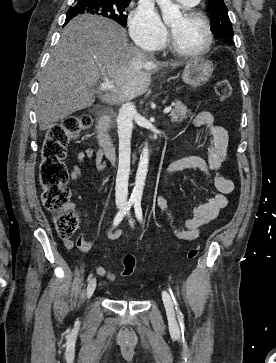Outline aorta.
I'll return each mask as SVG.
<instances>
[{
  "mask_svg": "<svg viewBox=\"0 0 276 363\" xmlns=\"http://www.w3.org/2000/svg\"><path fill=\"white\" fill-rule=\"evenodd\" d=\"M162 12L164 23L170 24L182 17L179 6L172 3L171 0H156ZM149 149L147 146L143 148L140 161L136 173L135 187L133 189L132 200H140L143 194L145 180L148 172Z\"/></svg>",
  "mask_w": 276,
  "mask_h": 363,
  "instance_id": "aorta-1",
  "label": "aorta"
}]
</instances>
